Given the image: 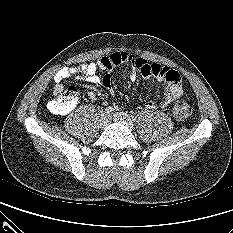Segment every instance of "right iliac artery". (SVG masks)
<instances>
[{"instance_id":"82829eb1","label":"right iliac artery","mask_w":233,"mask_h":233,"mask_svg":"<svg viewBox=\"0 0 233 233\" xmlns=\"http://www.w3.org/2000/svg\"><path fill=\"white\" fill-rule=\"evenodd\" d=\"M112 111H113V108L110 106L105 109L106 114H110Z\"/></svg>"}]
</instances>
